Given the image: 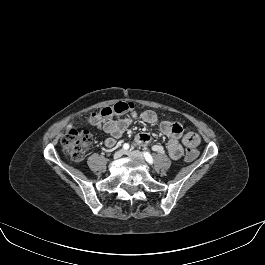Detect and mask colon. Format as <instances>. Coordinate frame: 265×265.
Returning a JSON list of instances; mask_svg holds the SVG:
<instances>
[{"label":"colon","mask_w":265,"mask_h":265,"mask_svg":"<svg viewBox=\"0 0 265 265\" xmlns=\"http://www.w3.org/2000/svg\"><path fill=\"white\" fill-rule=\"evenodd\" d=\"M136 108L132 102H117L113 105L105 106L95 110L90 121L94 125H99L113 116L125 115ZM92 133L89 130L69 129L62 139V148L66 155L74 161H80L92 144ZM198 151L192 147L185 152L184 158L193 161L197 158Z\"/></svg>","instance_id":"obj_1"}]
</instances>
